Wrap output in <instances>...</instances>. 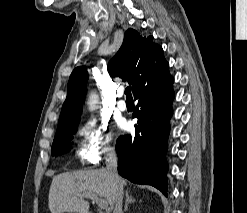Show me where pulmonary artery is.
Wrapping results in <instances>:
<instances>
[{
  "label": "pulmonary artery",
  "instance_id": "1",
  "mask_svg": "<svg viewBox=\"0 0 247 213\" xmlns=\"http://www.w3.org/2000/svg\"><path fill=\"white\" fill-rule=\"evenodd\" d=\"M123 91L119 90L117 93L118 100L116 102V108L120 111H125L127 109V104L125 100L122 99Z\"/></svg>",
  "mask_w": 247,
  "mask_h": 213
}]
</instances>
